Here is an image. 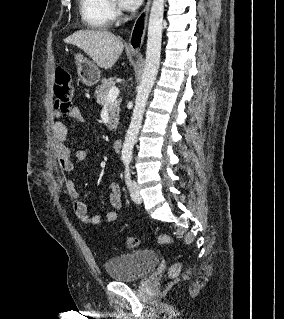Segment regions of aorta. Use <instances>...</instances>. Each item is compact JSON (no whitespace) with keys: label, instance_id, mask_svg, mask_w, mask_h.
Segmentation results:
<instances>
[{"label":"aorta","instance_id":"762f6f07","mask_svg":"<svg viewBox=\"0 0 284 319\" xmlns=\"http://www.w3.org/2000/svg\"><path fill=\"white\" fill-rule=\"evenodd\" d=\"M163 15L164 0H153L148 24L145 65L142 80L136 95L131 123L122 148V160H130L132 157L133 147L141 127L146 103L158 74L162 43Z\"/></svg>","mask_w":284,"mask_h":319}]
</instances>
